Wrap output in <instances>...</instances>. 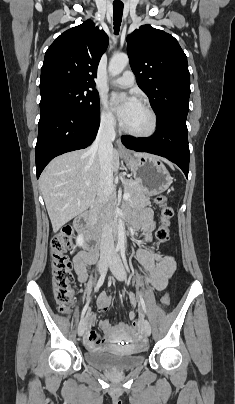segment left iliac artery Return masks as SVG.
<instances>
[{"label":"left iliac artery","mask_w":235,"mask_h":404,"mask_svg":"<svg viewBox=\"0 0 235 404\" xmlns=\"http://www.w3.org/2000/svg\"><path fill=\"white\" fill-rule=\"evenodd\" d=\"M120 252H121V256H122V259H123L124 266H125L127 272L130 274V270H129L127 260H126V257H125V249H124V247L121 248ZM130 276H131V274H130ZM138 294H139V304H140L141 308L143 309V311L146 313V306H145L144 299H143L140 292H138Z\"/></svg>","instance_id":"1"}]
</instances>
